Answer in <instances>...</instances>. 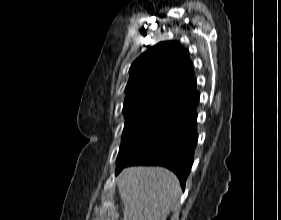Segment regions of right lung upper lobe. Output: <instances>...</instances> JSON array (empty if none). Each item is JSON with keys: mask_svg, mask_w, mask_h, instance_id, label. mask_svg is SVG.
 <instances>
[{"mask_svg": "<svg viewBox=\"0 0 281 220\" xmlns=\"http://www.w3.org/2000/svg\"><path fill=\"white\" fill-rule=\"evenodd\" d=\"M125 118L173 117L199 98L188 51L176 41L161 42L136 59L129 70Z\"/></svg>", "mask_w": 281, "mask_h": 220, "instance_id": "right-lung-upper-lobe-1", "label": "right lung upper lobe"}]
</instances>
